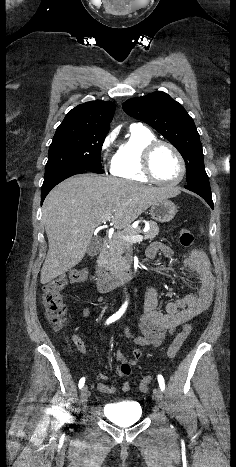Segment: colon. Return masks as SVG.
I'll use <instances>...</instances> for the list:
<instances>
[{
    "label": "colon",
    "instance_id": "colon-1",
    "mask_svg": "<svg viewBox=\"0 0 236 467\" xmlns=\"http://www.w3.org/2000/svg\"><path fill=\"white\" fill-rule=\"evenodd\" d=\"M179 241L184 247H191L194 242V235L191 230L183 227L179 230ZM86 277L84 269H73L67 273L58 276L48 282L43 288V304L46 312V317L55 331L61 330L67 322V309L62 300L61 291L70 284L81 282ZM192 331L190 324H185L182 330L176 336L167 351L168 358H174L181 345L185 342ZM73 342L77 348L80 347L81 341L77 337L73 338ZM151 377H145L140 383L139 389L141 392H147Z\"/></svg>",
    "mask_w": 236,
    "mask_h": 467
}]
</instances>
